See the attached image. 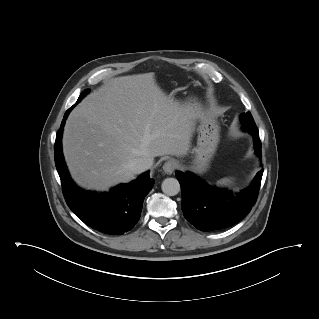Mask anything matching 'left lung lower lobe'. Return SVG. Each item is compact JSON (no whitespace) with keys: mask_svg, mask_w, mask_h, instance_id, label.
<instances>
[{"mask_svg":"<svg viewBox=\"0 0 319 319\" xmlns=\"http://www.w3.org/2000/svg\"><path fill=\"white\" fill-rule=\"evenodd\" d=\"M254 136L255 151L261 156V142L256 126H242ZM263 169L252 184L238 193L208 186L193 173L176 172L182 190V210L185 218L201 231H213L232 226L242 220L255 204Z\"/></svg>","mask_w":319,"mask_h":319,"instance_id":"0a47b994","label":"left lung lower lobe"}]
</instances>
